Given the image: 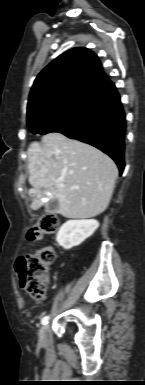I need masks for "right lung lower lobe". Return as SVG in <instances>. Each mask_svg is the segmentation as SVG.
I'll return each mask as SVG.
<instances>
[{
	"mask_svg": "<svg viewBox=\"0 0 145 385\" xmlns=\"http://www.w3.org/2000/svg\"><path fill=\"white\" fill-rule=\"evenodd\" d=\"M125 131V113L116 87L112 84L55 132L100 149L115 161L122 173L125 167Z\"/></svg>",
	"mask_w": 145,
	"mask_h": 385,
	"instance_id": "right-lung-lower-lobe-1",
	"label": "right lung lower lobe"
}]
</instances>
